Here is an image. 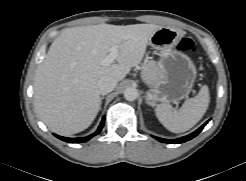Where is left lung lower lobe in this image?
Instances as JSON below:
<instances>
[{
	"label": "left lung lower lobe",
	"instance_id": "0a47b994",
	"mask_svg": "<svg viewBox=\"0 0 246 181\" xmlns=\"http://www.w3.org/2000/svg\"><path fill=\"white\" fill-rule=\"evenodd\" d=\"M208 123V121L206 123H204L198 130H196L195 132L187 135V136H184L182 138H178V139H175V140H167V139H162V138H158V137H155V139H157L158 141L160 142H163V143H170V144H179V143H183V142H186L194 137H196L201 131L202 129L204 128V126Z\"/></svg>",
	"mask_w": 246,
	"mask_h": 181
}]
</instances>
